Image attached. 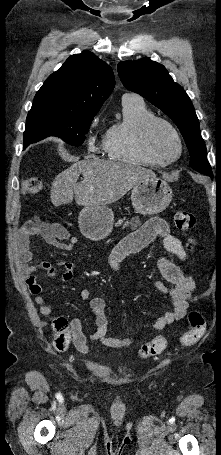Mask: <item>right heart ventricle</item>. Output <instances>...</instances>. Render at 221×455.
Wrapping results in <instances>:
<instances>
[{
	"instance_id": "e07e8e85",
	"label": "right heart ventricle",
	"mask_w": 221,
	"mask_h": 455,
	"mask_svg": "<svg viewBox=\"0 0 221 455\" xmlns=\"http://www.w3.org/2000/svg\"><path fill=\"white\" fill-rule=\"evenodd\" d=\"M122 110V120L109 126L104 135L103 149L107 157L126 163L161 166L163 163L145 152L139 142L140 127L153 113L142 100L133 97L122 98Z\"/></svg>"
}]
</instances>
